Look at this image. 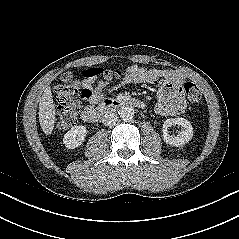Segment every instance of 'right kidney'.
<instances>
[{"mask_svg": "<svg viewBox=\"0 0 239 239\" xmlns=\"http://www.w3.org/2000/svg\"><path fill=\"white\" fill-rule=\"evenodd\" d=\"M86 134L87 129L85 126H74L64 135L63 143L66 148L74 149L84 142Z\"/></svg>", "mask_w": 239, "mask_h": 239, "instance_id": "ca27d5eb", "label": "right kidney"}]
</instances>
